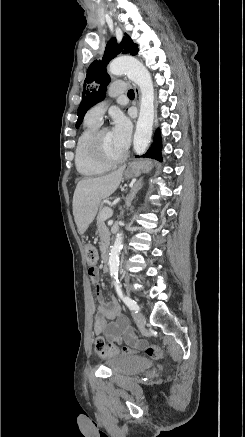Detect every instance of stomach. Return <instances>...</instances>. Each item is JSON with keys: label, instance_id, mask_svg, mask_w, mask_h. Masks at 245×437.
Returning a JSON list of instances; mask_svg holds the SVG:
<instances>
[{"label": "stomach", "instance_id": "1", "mask_svg": "<svg viewBox=\"0 0 245 437\" xmlns=\"http://www.w3.org/2000/svg\"><path fill=\"white\" fill-rule=\"evenodd\" d=\"M151 169V164L146 160H138L131 162L124 172L125 179L138 177L142 172H148Z\"/></svg>", "mask_w": 245, "mask_h": 437}]
</instances>
